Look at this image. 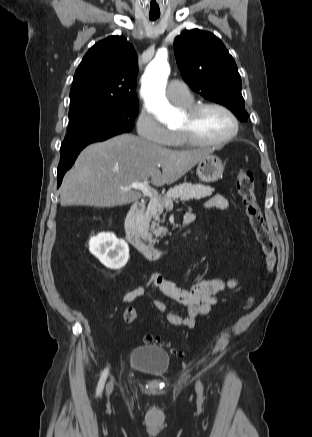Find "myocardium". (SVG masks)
<instances>
[{
	"label": "myocardium",
	"mask_w": 312,
	"mask_h": 437,
	"mask_svg": "<svg viewBox=\"0 0 312 437\" xmlns=\"http://www.w3.org/2000/svg\"><path fill=\"white\" fill-rule=\"evenodd\" d=\"M207 108H217L221 111H223L225 114L228 115V117L232 121V130L231 132L226 135L223 138L216 139V140H205L200 138L194 131V129L191 126L182 127L179 129V133L181 134L184 141L189 145L194 146H219L226 144L230 141H232L239 132V120L235 113L225 106L224 104L218 103V102H202V103H196L192 104L189 107L184 108L185 113L189 119V122L192 123L196 116L200 114L203 110Z\"/></svg>",
	"instance_id": "1"
}]
</instances>
